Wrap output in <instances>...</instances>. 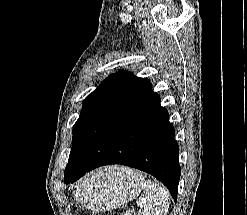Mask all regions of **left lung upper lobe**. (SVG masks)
Listing matches in <instances>:
<instances>
[{
    "instance_id": "1",
    "label": "left lung upper lobe",
    "mask_w": 247,
    "mask_h": 215,
    "mask_svg": "<svg viewBox=\"0 0 247 215\" xmlns=\"http://www.w3.org/2000/svg\"><path fill=\"white\" fill-rule=\"evenodd\" d=\"M149 80L130 72L112 74L83 101L81 114L73 127L69 160L84 140L100 138L134 102Z\"/></svg>"
}]
</instances>
